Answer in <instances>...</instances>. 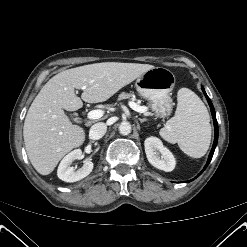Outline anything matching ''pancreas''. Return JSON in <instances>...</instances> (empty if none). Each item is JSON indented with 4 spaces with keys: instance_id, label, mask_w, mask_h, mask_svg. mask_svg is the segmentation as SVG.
<instances>
[{
    "instance_id": "obj_1",
    "label": "pancreas",
    "mask_w": 247,
    "mask_h": 247,
    "mask_svg": "<svg viewBox=\"0 0 247 247\" xmlns=\"http://www.w3.org/2000/svg\"><path fill=\"white\" fill-rule=\"evenodd\" d=\"M131 97H133V94L122 92L121 94H119L118 100L128 99ZM132 99L135 100L134 98H132Z\"/></svg>"
}]
</instances>
